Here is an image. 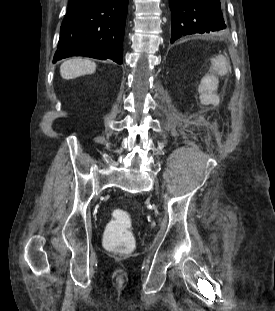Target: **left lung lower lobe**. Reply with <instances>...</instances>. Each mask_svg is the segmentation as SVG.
Masks as SVG:
<instances>
[{"label": "left lung lower lobe", "mask_w": 275, "mask_h": 311, "mask_svg": "<svg viewBox=\"0 0 275 311\" xmlns=\"http://www.w3.org/2000/svg\"><path fill=\"white\" fill-rule=\"evenodd\" d=\"M171 43L192 34H214L226 29L220 0H169Z\"/></svg>", "instance_id": "0a47b994"}]
</instances>
